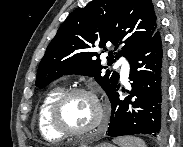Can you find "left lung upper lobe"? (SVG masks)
I'll list each match as a JSON object with an SVG mask.
<instances>
[{
  "mask_svg": "<svg viewBox=\"0 0 183 147\" xmlns=\"http://www.w3.org/2000/svg\"><path fill=\"white\" fill-rule=\"evenodd\" d=\"M151 0H93L73 11L63 22L42 58L35 86L44 88L53 80L68 74L94 77L109 96L118 84L116 71L102 70L100 54L94 48H105L107 42L120 53H108V65L120 56L128 58L159 29ZM104 52V51H103Z\"/></svg>",
  "mask_w": 183,
  "mask_h": 147,
  "instance_id": "5c2ea615",
  "label": "left lung upper lobe"
}]
</instances>
